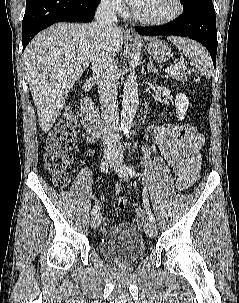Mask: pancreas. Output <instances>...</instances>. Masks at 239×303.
<instances>
[{"mask_svg":"<svg viewBox=\"0 0 239 303\" xmlns=\"http://www.w3.org/2000/svg\"><path fill=\"white\" fill-rule=\"evenodd\" d=\"M189 72L190 70L185 65L182 64L179 67H177V69L173 70L171 73H168V76L178 81L184 82L187 80V73Z\"/></svg>","mask_w":239,"mask_h":303,"instance_id":"cf45deb5","label":"pancreas"}]
</instances>
